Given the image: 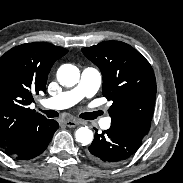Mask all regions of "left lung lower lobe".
I'll list each match as a JSON object with an SVG mask.
<instances>
[{"label": "left lung lower lobe", "mask_w": 183, "mask_h": 183, "mask_svg": "<svg viewBox=\"0 0 183 183\" xmlns=\"http://www.w3.org/2000/svg\"><path fill=\"white\" fill-rule=\"evenodd\" d=\"M142 139L128 130L111 125L102 134L95 133L86 154L97 164L111 166L133 155L140 147Z\"/></svg>", "instance_id": "obj_1"}]
</instances>
